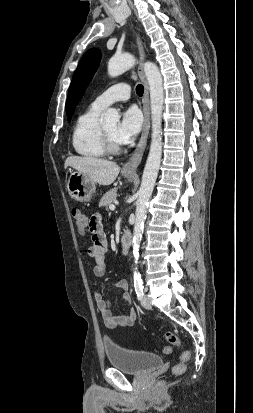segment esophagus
Returning a JSON list of instances; mask_svg holds the SVG:
<instances>
[{"mask_svg":"<svg viewBox=\"0 0 253 413\" xmlns=\"http://www.w3.org/2000/svg\"><path fill=\"white\" fill-rule=\"evenodd\" d=\"M136 43L137 47L139 50V56H140V65H139V76L143 82L144 85V94H143V112H144V123H143V128H142V133L141 137L139 139V142L130 156L129 160L125 163L123 166L122 172L126 174H135L138 166L141 163L146 144H147V139L149 135V130H150V99H149V86L148 82L146 79V76L143 71V62L146 57L145 53V45L143 42V38L140 34L139 31L136 32Z\"/></svg>","mask_w":253,"mask_h":413,"instance_id":"34e87169","label":"esophagus"}]
</instances>
